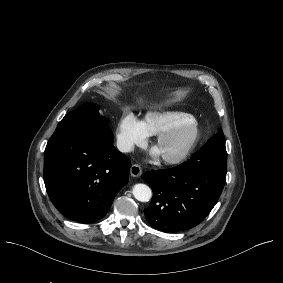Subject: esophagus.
Here are the masks:
<instances>
[{"label": "esophagus", "instance_id": "1", "mask_svg": "<svg viewBox=\"0 0 283 283\" xmlns=\"http://www.w3.org/2000/svg\"><path fill=\"white\" fill-rule=\"evenodd\" d=\"M130 173L133 177H139L142 174V169L139 165L134 164L130 167Z\"/></svg>", "mask_w": 283, "mask_h": 283}]
</instances>
